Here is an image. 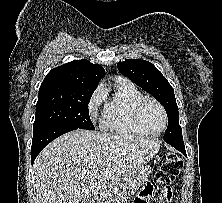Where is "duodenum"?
<instances>
[{"label":"duodenum","instance_id":"obj_1","mask_svg":"<svg viewBox=\"0 0 222 203\" xmlns=\"http://www.w3.org/2000/svg\"><path fill=\"white\" fill-rule=\"evenodd\" d=\"M96 197H97L98 203H100L104 199V193L103 192H99Z\"/></svg>","mask_w":222,"mask_h":203}]
</instances>
